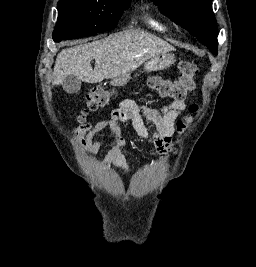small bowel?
<instances>
[{
  "label": "small bowel",
  "instance_id": "1",
  "mask_svg": "<svg viewBox=\"0 0 256 267\" xmlns=\"http://www.w3.org/2000/svg\"><path fill=\"white\" fill-rule=\"evenodd\" d=\"M186 108L184 100H174L155 110L138 106L131 99L122 100L109 116L100 119L94 125L82 124L76 131L80 145L90 154L95 155L102 146L110 144V150L102 161V167H113L124 174L130 172L124 153L127 141L123 137L119 122H132L141 138L151 141L163 160L168 159L173 151V136L176 132L175 118L181 116ZM149 128H152L150 132ZM109 130V135L94 140V137Z\"/></svg>",
  "mask_w": 256,
  "mask_h": 267
}]
</instances>
